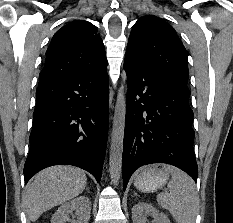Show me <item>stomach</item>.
<instances>
[{
	"instance_id": "obj_1",
	"label": "stomach",
	"mask_w": 233,
	"mask_h": 223,
	"mask_svg": "<svg viewBox=\"0 0 233 223\" xmlns=\"http://www.w3.org/2000/svg\"><path fill=\"white\" fill-rule=\"evenodd\" d=\"M169 175V165H148L136 177L134 185L136 189L144 191V193L158 191V189H162L163 185H165L167 179H169Z\"/></svg>"
}]
</instances>
